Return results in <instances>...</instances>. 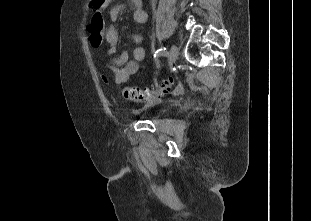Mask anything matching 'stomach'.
I'll use <instances>...</instances> for the list:
<instances>
[{"instance_id":"obj_1","label":"stomach","mask_w":311,"mask_h":221,"mask_svg":"<svg viewBox=\"0 0 311 221\" xmlns=\"http://www.w3.org/2000/svg\"><path fill=\"white\" fill-rule=\"evenodd\" d=\"M110 0H95L96 8H106L108 6Z\"/></svg>"}]
</instances>
